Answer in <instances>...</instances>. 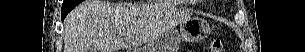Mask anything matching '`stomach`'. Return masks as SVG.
Wrapping results in <instances>:
<instances>
[{"label": "stomach", "mask_w": 305, "mask_h": 52, "mask_svg": "<svg viewBox=\"0 0 305 52\" xmlns=\"http://www.w3.org/2000/svg\"><path fill=\"white\" fill-rule=\"evenodd\" d=\"M209 33L210 26L206 20L190 17L182 21L178 29L167 30L143 48L130 49L127 52H177L181 41L198 42L205 39Z\"/></svg>", "instance_id": "obj_1"}]
</instances>
